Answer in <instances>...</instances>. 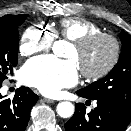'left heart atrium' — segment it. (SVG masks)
<instances>
[{"label": "left heart atrium", "mask_w": 131, "mask_h": 131, "mask_svg": "<svg viewBox=\"0 0 131 131\" xmlns=\"http://www.w3.org/2000/svg\"><path fill=\"white\" fill-rule=\"evenodd\" d=\"M22 80L48 96H54L62 88L78 81V68L74 60H60L54 56H42L27 62L21 72Z\"/></svg>", "instance_id": "left-heart-atrium-1"}]
</instances>
